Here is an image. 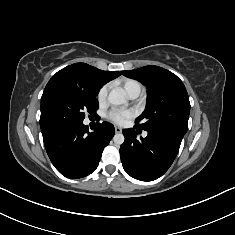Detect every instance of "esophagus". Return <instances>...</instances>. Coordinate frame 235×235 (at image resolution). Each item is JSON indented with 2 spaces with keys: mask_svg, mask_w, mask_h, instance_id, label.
Segmentation results:
<instances>
[{
  "mask_svg": "<svg viewBox=\"0 0 235 235\" xmlns=\"http://www.w3.org/2000/svg\"><path fill=\"white\" fill-rule=\"evenodd\" d=\"M122 131V129L120 127H115V133H120Z\"/></svg>",
  "mask_w": 235,
  "mask_h": 235,
  "instance_id": "34e87169",
  "label": "esophagus"
}]
</instances>
